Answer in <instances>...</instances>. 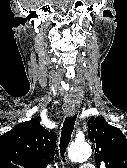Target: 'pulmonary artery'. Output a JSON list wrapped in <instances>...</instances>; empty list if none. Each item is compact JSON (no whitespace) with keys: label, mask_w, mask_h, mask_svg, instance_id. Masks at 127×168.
<instances>
[{"label":"pulmonary artery","mask_w":127,"mask_h":168,"mask_svg":"<svg viewBox=\"0 0 127 168\" xmlns=\"http://www.w3.org/2000/svg\"><path fill=\"white\" fill-rule=\"evenodd\" d=\"M79 168H94V166L89 163H84V164L80 165Z\"/></svg>","instance_id":"e3ab8cb5"}]
</instances>
